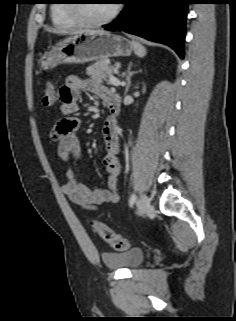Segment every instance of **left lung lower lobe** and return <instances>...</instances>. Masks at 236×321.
<instances>
[{
  "instance_id": "0a47b994",
  "label": "left lung lower lobe",
  "mask_w": 236,
  "mask_h": 321,
  "mask_svg": "<svg viewBox=\"0 0 236 321\" xmlns=\"http://www.w3.org/2000/svg\"><path fill=\"white\" fill-rule=\"evenodd\" d=\"M125 9L106 30L125 31L170 46L184 58L189 0H125Z\"/></svg>"
}]
</instances>
